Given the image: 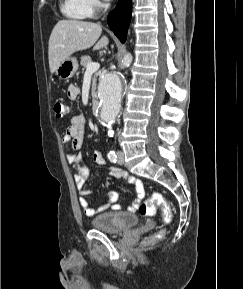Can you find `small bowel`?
Instances as JSON below:
<instances>
[{"label":"small bowel","instance_id":"1","mask_svg":"<svg viewBox=\"0 0 243 289\" xmlns=\"http://www.w3.org/2000/svg\"><path fill=\"white\" fill-rule=\"evenodd\" d=\"M67 95L72 100L76 99L79 95L78 86L74 84L69 85L67 88ZM85 127L86 119L84 115H73L62 139L66 148L67 162L74 165L78 170V173L75 175V183L79 192L80 206L87 216H94L97 213L105 212L110 209L119 211L121 210V206L117 203L118 194L114 191L108 193L106 201L100 204L96 210L91 207L87 200V196L92 194V190L87 187L90 172L89 169L83 164L82 157L79 153L85 139ZM92 159L98 166H103L105 164L102 153L98 150L93 152ZM109 175L115 179L126 180L135 188L136 195L131 205L127 208L128 211L135 212L145 195L142 182L134 176L129 175L127 172L115 167H111L109 169Z\"/></svg>","mask_w":243,"mask_h":289}]
</instances>
